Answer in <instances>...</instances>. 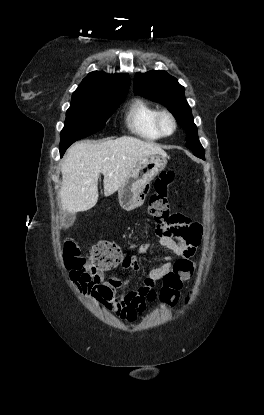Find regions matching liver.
I'll return each mask as SVG.
<instances>
[{
	"label": "liver",
	"mask_w": 264,
	"mask_h": 415,
	"mask_svg": "<svg viewBox=\"0 0 264 415\" xmlns=\"http://www.w3.org/2000/svg\"><path fill=\"white\" fill-rule=\"evenodd\" d=\"M153 155L166 153L158 145L129 136L100 143H75L61 164L62 210L73 214L93 208L99 197L100 173L107 197L126 182L139 160Z\"/></svg>",
	"instance_id": "6515ba94"
}]
</instances>
